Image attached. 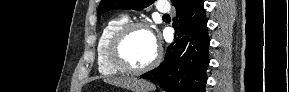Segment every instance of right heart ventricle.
<instances>
[{"label":"right heart ventricle","instance_id":"e07e8e85","mask_svg":"<svg viewBox=\"0 0 289 92\" xmlns=\"http://www.w3.org/2000/svg\"><path fill=\"white\" fill-rule=\"evenodd\" d=\"M128 22L126 16H119L110 19L103 27L97 42L96 55L97 67L100 74L113 76L122 73L112 65L108 57V46L114 33L125 23Z\"/></svg>","mask_w":289,"mask_h":92}]
</instances>
